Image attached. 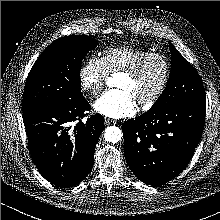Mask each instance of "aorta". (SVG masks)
Here are the masks:
<instances>
[{
    "instance_id": "obj_1",
    "label": "aorta",
    "mask_w": 220,
    "mask_h": 220,
    "mask_svg": "<svg viewBox=\"0 0 220 220\" xmlns=\"http://www.w3.org/2000/svg\"><path fill=\"white\" fill-rule=\"evenodd\" d=\"M107 85L109 87H113L114 83H113V78H108L107 79ZM122 138V132L121 130L116 127V126H110L107 127L105 130V140L107 142H111L113 144L119 142Z\"/></svg>"
}]
</instances>
